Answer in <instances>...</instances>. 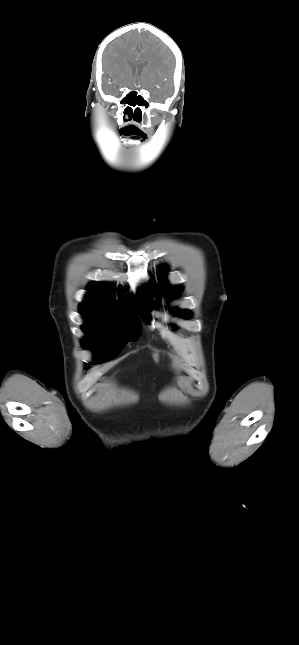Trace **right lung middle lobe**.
I'll list each match as a JSON object with an SVG mask.
<instances>
[{
    "label": "right lung middle lobe",
    "instance_id": "dd1d6c3e",
    "mask_svg": "<svg viewBox=\"0 0 299 645\" xmlns=\"http://www.w3.org/2000/svg\"><path fill=\"white\" fill-rule=\"evenodd\" d=\"M87 319L82 331L88 335L83 340L84 347H92L97 342L103 345L97 355L98 361H109L117 356L129 341H136L140 335V321L112 313H82Z\"/></svg>",
    "mask_w": 299,
    "mask_h": 645
}]
</instances>
